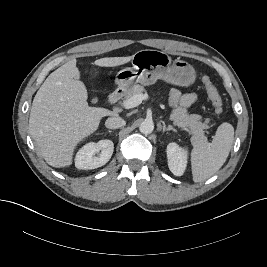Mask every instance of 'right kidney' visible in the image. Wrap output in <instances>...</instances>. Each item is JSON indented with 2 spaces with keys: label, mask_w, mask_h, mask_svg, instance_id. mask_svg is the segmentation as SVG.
<instances>
[{
  "label": "right kidney",
  "mask_w": 267,
  "mask_h": 267,
  "mask_svg": "<svg viewBox=\"0 0 267 267\" xmlns=\"http://www.w3.org/2000/svg\"><path fill=\"white\" fill-rule=\"evenodd\" d=\"M113 151L114 144L111 140H100L97 143L90 142L77 152L75 166L82 170L101 167L110 160Z\"/></svg>",
  "instance_id": "1"
}]
</instances>
